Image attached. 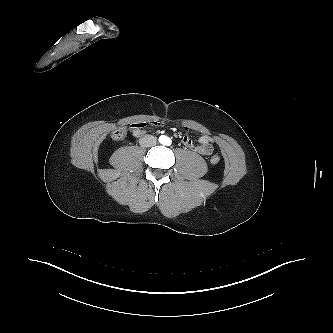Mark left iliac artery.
Segmentation results:
<instances>
[{
	"label": "left iliac artery",
	"mask_w": 333,
	"mask_h": 333,
	"mask_svg": "<svg viewBox=\"0 0 333 333\" xmlns=\"http://www.w3.org/2000/svg\"><path fill=\"white\" fill-rule=\"evenodd\" d=\"M167 144L170 145V144H171V140H168V141H167Z\"/></svg>",
	"instance_id": "left-iliac-artery-1"
}]
</instances>
